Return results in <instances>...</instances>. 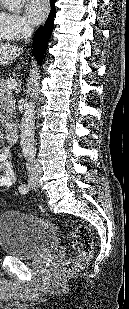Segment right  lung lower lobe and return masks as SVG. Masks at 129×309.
<instances>
[{
	"label": "right lung lower lobe",
	"mask_w": 129,
	"mask_h": 309,
	"mask_svg": "<svg viewBox=\"0 0 129 309\" xmlns=\"http://www.w3.org/2000/svg\"><path fill=\"white\" fill-rule=\"evenodd\" d=\"M55 2L56 0H50L51 11L49 17L46 20L44 27H40L36 31L33 39V54L40 65L42 64V60L44 58V53L47 46V39L50 37L51 32L53 30V19L56 12L54 6Z\"/></svg>",
	"instance_id": "obj_1"
}]
</instances>
